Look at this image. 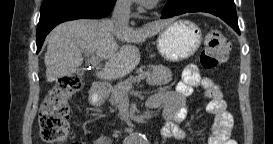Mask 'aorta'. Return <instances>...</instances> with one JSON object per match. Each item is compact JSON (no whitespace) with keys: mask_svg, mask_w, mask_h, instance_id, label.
<instances>
[{"mask_svg":"<svg viewBox=\"0 0 273 144\" xmlns=\"http://www.w3.org/2000/svg\"><path fill=\"white\" fill-rule=\"evenodd\" d=\"M144 142L145 138L138 133H134L128 138V144H145Z\"/></svg>","mask_w":273,"mask_h":144,"instance_id":"1","label":"aorta"}]
</instances>
